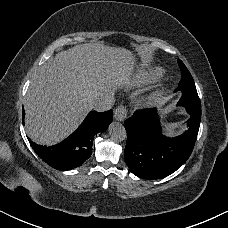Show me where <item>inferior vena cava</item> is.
Here are the masks:
<instances>
[{
	"label": "inferior vena cava",
	"mask_w": 228,
	"mask_h": 228,
	"mask_svg": "<svg viewBox=\"0 0 228 228\" xmlns=\"http://www.w3.org/2000/svg\"><path fill=\"white\" fill-rule=\"evenodd\" d=\"M89 98L92 102V109L103 112L109 110L114 105V93L107 92L105 94H89Z\"/></svg>",
	"instance_id": "1"
}]
</instances>
